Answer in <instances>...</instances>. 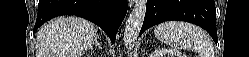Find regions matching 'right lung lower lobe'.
<instances>
[{
  "mask_svg": "<svg viewBox=\"0 0 249 57\" xmlns=\"http://www.w3.org/2000/svg\"><path fill=\"white\" fill-rule=\"evenodd\" d=\"M126 12L127 0H39L34 31L54 17L75 15L99 25L114 43Z\"/></svg>",
  "mask_w": 249,
  "mask_h": 57,
  "instance_id": "obj_1",
  "label": "right lung lower lobe"
}]
</instances>
